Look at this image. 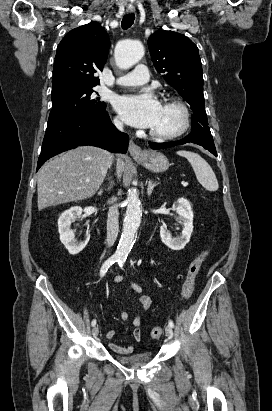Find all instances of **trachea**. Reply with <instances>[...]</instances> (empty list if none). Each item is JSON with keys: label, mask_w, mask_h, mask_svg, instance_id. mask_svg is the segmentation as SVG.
<instances>
[{"label": "trachea", "mask_w": 272, "mask_h": 411, "mask_svg": "<svg viewBox=\"0 0 272 411\" xmlns=\"http://www.w3.org/2000/svg\"><path fill=\"white\" fill-rule=\"evenodd\" d=\"M135 20V15L134 14H127L123 17L122 19V28L123 29H128L132 26Z\"/></svg>", "instance_id": "obj_1"}]
</instances>
